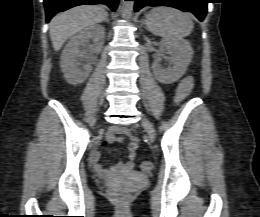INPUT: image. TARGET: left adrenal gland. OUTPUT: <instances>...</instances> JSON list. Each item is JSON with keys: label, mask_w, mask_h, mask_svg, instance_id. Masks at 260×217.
<instances>
[{"label": "left adrenal gland", "mask_w": 260, "mask_h": 217, "mask_svg": "<svg viewBox=\"0 0 260 217\" xmlns=\"http://www.w3.org/2000/svg\"><path fill=\"white\" fill-rule=\"evenodd\" d=\"M142 24H146V20L145 19H142Z\"/></svg>", "instance_id": "obj_1"}]
</instances>
